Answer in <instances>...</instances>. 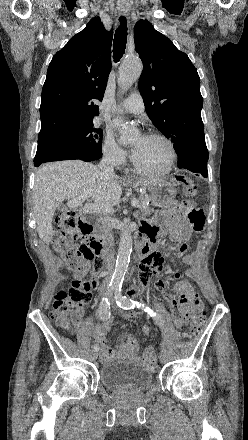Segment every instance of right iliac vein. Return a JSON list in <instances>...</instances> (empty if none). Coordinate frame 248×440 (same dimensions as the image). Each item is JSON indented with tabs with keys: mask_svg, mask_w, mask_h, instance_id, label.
Wrapping results in <instances>:
<instances>
[{
	"mask_svg": "<svg viewBox=\"0 0 248 440\" xmlns=\"http://www.w3.org/2000/svg\"><path fill=\"white\" fill-rule=\"evenodd\" d=\"M97 355H98V354H97V351H93V352L91 353V355H90V356H91V359H92V360H95V359L97 358Z\"/></svg>",
	"mask_w": 248,
	"mask_h": 440,
	"instance_id": "obj_1",
	"label": "right iliac vein"
}]
</instances>
